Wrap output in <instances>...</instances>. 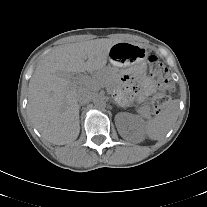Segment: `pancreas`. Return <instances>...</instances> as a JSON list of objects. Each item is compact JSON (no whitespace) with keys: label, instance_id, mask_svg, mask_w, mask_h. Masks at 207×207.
Here are the masks:
<instances>
[{"label":"pancreas","instance_id":"obj_1","mask_svg":"<svg viewBox=\"0 0 207 207\" xmlns=\"http://www.w3.org/2000/svg\"><path fill=\"white\" fill-rule=\"evenodd\" d=\"M92 81H94L99 87L105 86L109 91L116 92L115 83L113 82L112 77L105 72L96 73ZM99 87L91 86L93 90H97ZM138 113L145 117H149L151 114L150 108L147 105L139 107Z\"/></svg>","mask_w":207,"mask_h":207}]
</instances>
